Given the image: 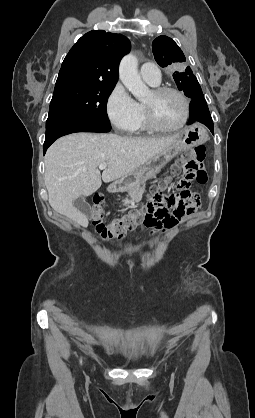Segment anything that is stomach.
<instances>
[{"label": "stomach", "mask_w": 255, "mask_h": 418, "mask_svg": "<svg viewBox=\"0 0 255 418\" xmlns=\"http://www.w3.org/2000/svg\"><path fill=\"white\" fill-rule=\"evenodd\" d=\"M208 139L206 130L198 124L184 128L179 138L167 149L153 156L146 163L127 177H123L120 183L125 189L153 178L172 158L183 150L205 143Z\"/></svg>", "instance_id": "stomach-1"}]
</instances>
